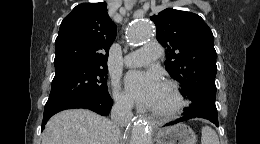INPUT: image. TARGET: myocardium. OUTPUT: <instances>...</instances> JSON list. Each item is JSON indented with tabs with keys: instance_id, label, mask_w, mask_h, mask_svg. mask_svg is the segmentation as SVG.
<instances>
[{
	"instance_id": "myocardium-1",
	"label": "myocardium",
	"mask_w": 260,
	"mask_h": 144,
	"mask_svg": "<svg viewBox=\"0 0 260 144\" xmlns=\"http://www.w3.org/2000/svg\"><path fill=\"white\" fill-rule=\"evenodd\" d=\"M164 85L169 89L171 92L173 98H174V105L169 108V109H162V110H157V109H152V114L161 118H174L180 115L185 106L186 102L183 97V94L177 85V83L167 80L164 82Z\"/></svg>"
}]
</instances>
